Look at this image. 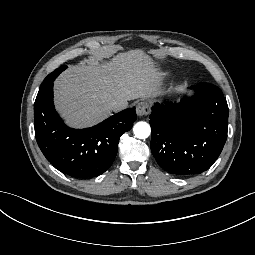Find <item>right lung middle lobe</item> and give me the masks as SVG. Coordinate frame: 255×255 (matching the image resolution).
<instances>
[{
    "mask_svg": "<svg viewBox=\"0 0 255 255\" xmlns=\"http://www.w3.org/2000/svg\"><path fill=\"white\" fill-rule=\"evenodd\" d=\"M67 67L66 66H61L59 67L58 69H56L55 71H53L51 74H49L45 79L44 81L42 82L41 86L40 87H43V86H46V85H49L51 83H53V81L55 80V78L62 72L66 69Z\"/></svg>",
    "mask_w": 255,
    "mask_h": 255,
    "instance_id": "right-lung-middle-lobe-1",
    "label": "right lung middle lobe"
}]
</instances>
